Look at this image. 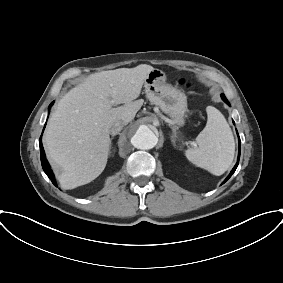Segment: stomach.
<instances>
[{
	"label": "stomach",
	"mask_w": 283,
	"mask_h": 283,
	"mask_svg": "<svg viewBox=\"0 0 283 283\" xmlns=\"http://www.w3.org/2000/svg\"><path fill=\"white\" fill-rule=\"evenodd\" d=\"M147 98L167 114L175 126L184 124L187 111V97L180 90L166 82L162 70L153 69L144 81Z\"/></svg>",
	"instance_id": "0dacf381"
}]
</instances>
